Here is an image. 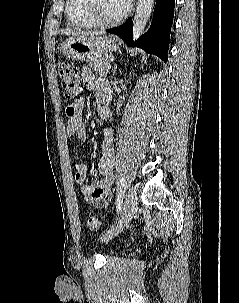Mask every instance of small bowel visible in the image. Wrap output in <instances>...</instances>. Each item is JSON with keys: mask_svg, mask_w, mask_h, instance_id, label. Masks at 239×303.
Returning <instances> with one entry per match:
<instances>
[{"mask_svg": "<svg viewBox=\"0 0 239 303\" xmlns=\"http://www.w3.org/2000/svg\"><path fill=\"white\" fill-rule=\"evenodd\" d=\"M83 84L91 91L96 93L98 106H108L111 98L110 89L101 78H97L93 73L84 68L81 71ZM67 116L66 135L77 140L86 139V128L83 120V100L75 104L68 105L65 109ZM115 163L114 138L110 129L105 130L102 143L101 158L98 163V170L102 178L95 183L85 184L88 176V166L82 163H76L75 179L82 184V194L87 202L96 206L104 207L111 199V188L114 182L113 168Z\"/></svg>", "mask_w": 239, "mask_h": 303, "instance_id": "obj_1", "label": "small bowel"}]
</instances>
